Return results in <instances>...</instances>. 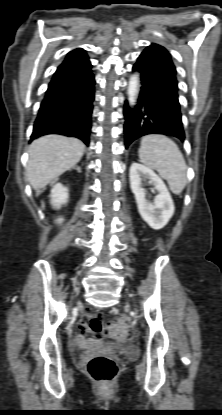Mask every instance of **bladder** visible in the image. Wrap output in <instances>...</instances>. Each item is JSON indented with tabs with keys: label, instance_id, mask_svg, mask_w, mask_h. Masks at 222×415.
Returning a JSON list of instances; mask_svg holds the SVG:
<instances>
[{
	"label": "bladder",
	"instance_id": "obj_1",
	"mask_svg": "<svg viewBox=\"0 0 222 415\" xmlns=\"http://www.w3.org/2000/svg\"><path fill=\"white\" fill-rule=\"evenodd\" d=\"M108 349L115 354L125 355V356H134L136 354V350L134 346H132L128 342L123 343H116L108 346Z\"/></svg>",
	"mask_w": 222,
	"mask_h": 415
}]
</instances>
